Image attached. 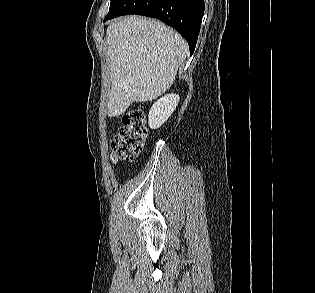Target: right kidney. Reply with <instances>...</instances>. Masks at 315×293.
Returning <instances> with one entry per match:
<instances>
[{"mask_svg":"<svg viewBox=\"0 0 315 293\" xmlns=\"http://www.w3.org/2000/svg\"><path fill=\"white\" fill-rule=\"evenodd\" d=\"M179 102V95L167 94L153 104L149 111L148 124L157 129L172 115Z\"/></svg>","mask_w":315,"mask_h":293,"instance_id":"ca27d5eb","label":"right kidney"}]
</instances>
